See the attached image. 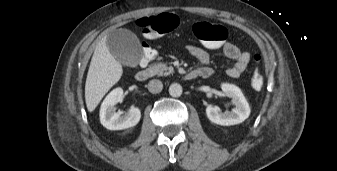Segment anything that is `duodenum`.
Here are the masks:
<instances>
[{
  "instance_id": "obj_1",
  "label": "duodenum",
  "mask_w": 337,
  "mask_h": 171,
  "mask_svg": "<svg viewBox=\"0 0 337 171\" xmlns=\"http://www.w3.org/2000/svg\"><path fill=\"white\" fill-rule=\"evenodd\" d=\"M210 74H211V71L209 69L198 68V69H194L188 72L185 75V78L189 80L196 79V78H207L209 77ZM149 76H150V71L148 69H141L136 74V78L139 81H144Z\"/></svg>"
}]
</instances>
